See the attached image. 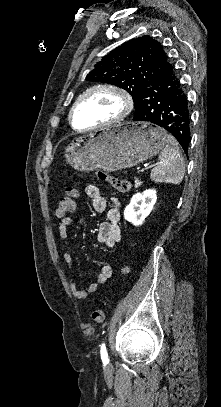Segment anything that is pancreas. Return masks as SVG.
<instances>
[{"instance_id": "obj_1", "label": "pancreas", "mask_w": 221, "mask_h": 407, "mask_svg": "<svg viewBox=\"0 0 221 407\" xmlns=\"http://www.w3.org/2000/svg\"><path fill=\"white\" fill-rule=\"evenodd\" d=\"M141 185V181L135 178V187H138Z\"/></svg>"}]
</instances>
